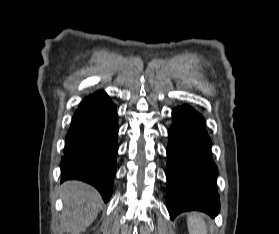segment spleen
Instances as JSON below:
<instances>
[{
  "label": "spleen",
  "mask_w": 279,
  "mask_h": 234,
  "mask_svg": "<svg viewBox=\"0 0 279 234\" xmlns=\"http://www.w3.org/2000/svg\"><path fill=\"white\" fill-rule=\"evenodd\" d=\"M189 234H207V226L201 213H191L187 217Z\"/></svg>",
  "instance_id": "3e777b00"
}]
</instances>
